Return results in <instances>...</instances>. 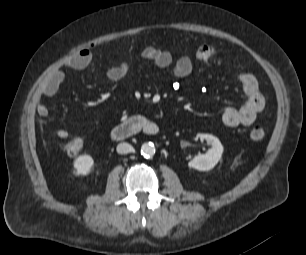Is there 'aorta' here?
<instances>
[{
  "mask_svg": "<svg viewBox=\"0 0 306 255\" xmlns=\"http://www.w3.org/2000/svg\"><path fill=\"white\" fill-rule=\"evenodd\" d=\"M141 154L146 157H152L155 154V146L153 143H144L141 146Z\"/></svg>",
  "mask_w": 306,
  "mask_h": 255,
  "instance_id": "762f6f07",
  "label": "aorta"
}]
</instances>
